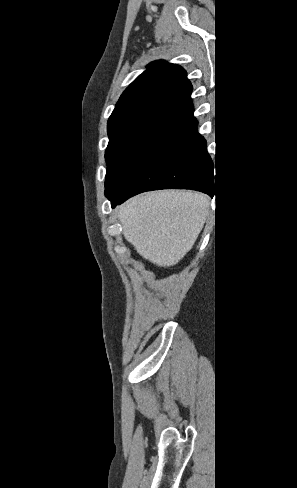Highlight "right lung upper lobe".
Wrapping results in <instances>:
<instances>
[{
  "label": "right lung upper lobe",
  "instance_id": "obj_1",
  "mask_svg": "<svg viewBox=\"0 0 297 488\" xmlns=\"http://www.w3.org/2000/svg\"><path fill=\"white\" fill-rule=\"evenodd\" d=\"M192 85L186 71L155 61L123 92L107 130L109 138L137 130L177 132L192 124Z\"/></svg>",
  "mask_w": 297,
  "mask_h": 488
}]
</instances>
